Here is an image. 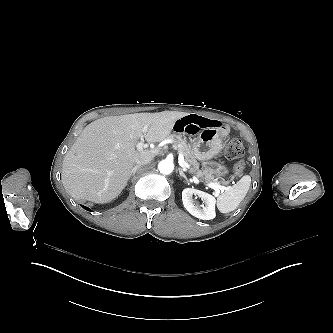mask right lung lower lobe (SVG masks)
<instances>
[{"label": "right lung lower lobe", "mask_w": 333, "mask_h": 333, "mask_svg": "<svg viewBox=\"0 0 333 333\" xmlns=\"http://www.w3.org/2000/svg\"><path fill=\"white\" fill-rule=\"evenodd\" d=\"M84 209L88 210V211H91L89 208L85 207V206H82Z\"/></svg>", "instance_id": "1"}]
</instances>
